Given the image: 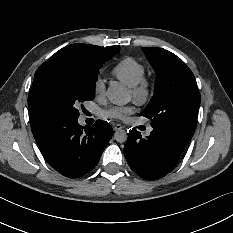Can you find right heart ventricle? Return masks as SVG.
<instances>
[{"label": "right heart ventricle", "instance_id": "e07e8e85", "mask_svg": "<svg viewBox=\"0 0 233 233\" xmlns=\"http://www.w3.org/2000/svg\"><path fill=\"white\" fill-rule=\"evenodd\" d=\"M112 73L123 84L131 87L144 77L145 66L138 59L128 56L117 62Z\"/></svg>", "mask_w": 233, "mask_h": 233}]
</instances>
